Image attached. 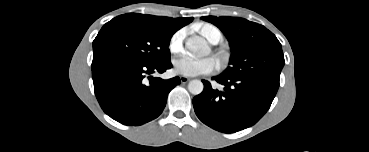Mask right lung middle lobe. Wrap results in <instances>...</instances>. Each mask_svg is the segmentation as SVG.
I'll use <instances>...</instances> for the list:
<instances>
[{"label": "right lung middle lobe", "mask_w": 369, "mask_h": 152, "mask_svg": "<svg viewBox=\"0 0 369 152\" xmlns=\"http://www.w3.org/2000/svg\"><path fill=\"white\" fill-rule=\"evenodd\" d=\"M175 32L129 14L115 17L103 25L93 41L92 70L116 61L156 64L170 60L168 46Z\"/></svg>", "instance_id": "dd1d6c3e"}]
</instances>
